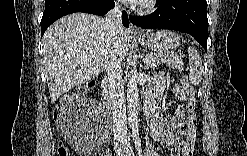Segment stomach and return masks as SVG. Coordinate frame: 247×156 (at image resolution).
Here are the masks:
<instances>
[{"instance_id":"0dacf381","label":"stomach","mask_w":247,"mask_h":156,"mask_svg":"<svg viewBox=\"0 0 247 156\" xmlns=\"http://www.w3.org/2000/svg\"><path fill=\"white\" fill-rule=\"evenodd\" d=\"M137 38L144 47L164 54H170L181 44L180 36L169 30L146 33Z\"/></svg>"}]
</instances>
